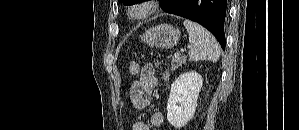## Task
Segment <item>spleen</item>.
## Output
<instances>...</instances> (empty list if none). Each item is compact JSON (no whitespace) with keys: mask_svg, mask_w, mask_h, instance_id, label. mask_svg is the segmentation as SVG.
<instances>
[{"mask_svg":"<svg viewBox=\"0 0 299 130\" xmlns=\"http://www.w3.org/2000/svg\"><path fill=\"white\" fill-rule=\"evenodd\" d=\"M189 34V57L193 61L209 60L217 62L220 57V46L214 36L204 27L191 20H184Z\"/></svg>","mask_w":299,"mask_h":130,"instance_id":"spleen-1","label":"spleen"}]
</instances>
